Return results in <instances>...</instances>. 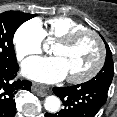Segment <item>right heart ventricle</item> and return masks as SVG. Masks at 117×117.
Wrapping results in <instances>:
<instances>
[{"mask_svg": "<svg viewBox=\"0 0 117 117\" xmlns=\"http://www.w3.org/2000/svg\"><path fill=\"white\" fill-rule=\"evenodd\" d=\"M86 29L84 25L72 18L58 16L44 22L42 27L43 37L49 40H58L68 33Z\"/></svg>", "mask_w": 117, "mask_h": 117, "instance_id": "1", "label": "right heart ventricle"}]
</instances>
